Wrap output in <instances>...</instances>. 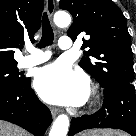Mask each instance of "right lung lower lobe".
I'll use <instances>...</instances> for the list:
<instances>
[{"label":"right lung lower lobe","mask_w":136,"mask_h":136,"mask_svg":"<svg viewBox=\"0 0 136 136\" xmlns=\"http://www.w3.org/2000/svg\"><path fill=\"white\" fill-rule=\"evenodd\" d=\"M31 78L11 89H0V119L14 123L35 136H43L52 122L50 110L30 87Z\"/></svg>","instance_id":"1"}]
</instances>
